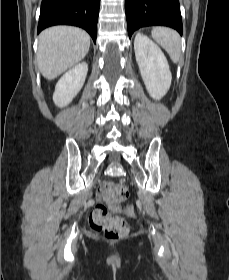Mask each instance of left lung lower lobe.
I'll return each mask as SVG.
<instances>
[{
  "mask_svg": "<svg viewBox=\"0 0 229 280\" xmlns=\"http://www.w3.org/2000/svg\"><path fill=\"white\" fill-rule=\"evenodd\" d=\"M129 38L141 27L162 25L182 35L179 0H125Z\"/></svg>",
  "mask_w": 229,
  "mask_h": 280,
  "instance_id": "0a47b994",
  "label": "left lung lower lobe"
}]
</instances>
